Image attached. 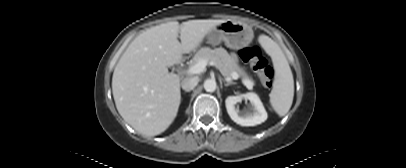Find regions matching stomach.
<instances>
[{
  "label": "stomach",
  "instance_id": "0dacf381",
  "mask_svg": "<svg viewBox=\"0 0 406 168\" xmlns=\"http://www.w3.org/2000/svg\"><path fill=\"white\" fill-rule=\"evenodd\" d=\"M206 38L211 45H218L224 41L227 47L238 50L252 42L254 33L252 27L246 23L226 20L209 32Z\"/></svg>",
  "mask_w": 406,
  "mask_h": 168
}]
</instances>
